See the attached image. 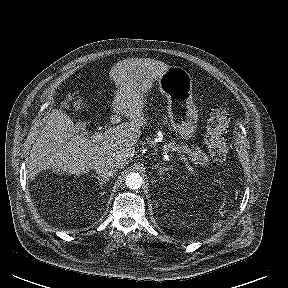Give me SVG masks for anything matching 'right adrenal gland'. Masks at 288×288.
I'll use <instances>...</instances> for the list:
<instances>
[{"label":"right adrenal gland","mask_w":288,"mask_h":288,"mask_svg":"<svg viewBox=\"0 0 288 288\" xmlns=\"http://www.w3.org/2000/svg\"><path fill=\"white\" fill-rule=\"evenodd\" d=\"M92 177H95L98 180L100 187H102L103 184L106 183V181H109L108 178L107 179H103V178H100V176H96L94 174H92Z\"/></svg>","instance_id":"2a0ac1e0"}]
</instances>
